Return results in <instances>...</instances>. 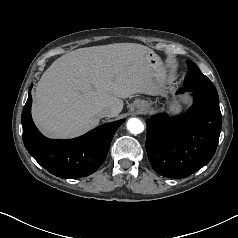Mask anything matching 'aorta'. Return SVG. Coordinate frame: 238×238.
<instances>
[{"label":"aorta","mask_w":238,"mask_h":238,"mask_svg":"<svg viewBox=\"0 0 238 238\" xmlns=\"http://www.w3.org/2000/svg\"><path fill=\"white\" fill-rule=\"evenodd\" d=\"M127 129L132 134H140L144 131V125L138 118H130L127 122Z\"/></svg>","instance_id":"obj_1"}]
</instances>
